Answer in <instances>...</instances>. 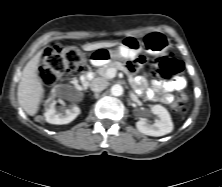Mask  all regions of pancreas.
I'll return each instance as SVG.
<instances>
[{
	"label": "pancreas",
	"mask_w": 222,
	"mask_h": 187,
	"mask_svg": "<svg viewBox=\"0 0 222 187\" xmlns=\"http://www.w3.org/2000/svg\"><path fill=\"white\" fill-rule=\"evenodd\" d=\"M123 67V64L120 63V62H117V61H113V62H110L108 64H105L103 65L102 67H100L98 70H97V73L103 77L104 79H108L107 77V71L110 69V68H115V69H121Z\"/></svg>",
	"instance_id": "1"
}]
</instances>
